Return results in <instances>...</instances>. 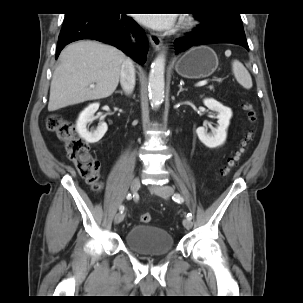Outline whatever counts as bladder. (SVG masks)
<instances>
[{"instance_id": "31cf9c89", "label": "bladder", "mask_w": 303, "mask_h": 303, "mask_svg": "<svg viewBox=\"0 0 303 303\" xmlns=\"http://www.w3.org/2000/svg\"><path fill=\"white\" fill-rule=\"evenodd\" d=\"M124 240L128 249L145 257L166 255L174 248L170 232L149 224L132 226Z\"/></svg>"}]
</instances>
